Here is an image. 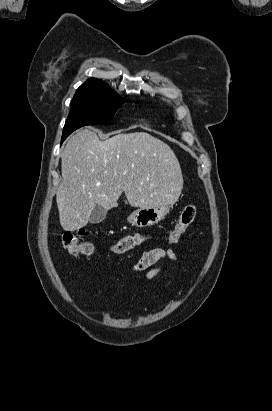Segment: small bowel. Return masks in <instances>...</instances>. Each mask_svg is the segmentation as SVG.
Masks as SVG:
<instances>
[{
	"instance_id": "obj_1",
	"label": "small bowel",
	"mask_w": 272,
	"mask_h": 411,
	"mask_svg": "<svg viewBox=\"0 0 272 411\" xmlns=\"http://www.w3.org/2000/svg\"><path fill=\"white\" fill-rule=\"evenodd\" d=\"M147 240L143 234H131L123 237L113 246V252L124 253ZM167 260L177 261L178 257L173 249L154 248L145 252L141 258L133 264V270L143 272L146 279H152L160 271V265Z\"/></svg>"
}]
</instances>
